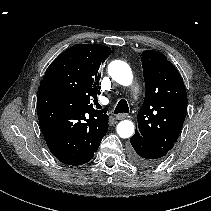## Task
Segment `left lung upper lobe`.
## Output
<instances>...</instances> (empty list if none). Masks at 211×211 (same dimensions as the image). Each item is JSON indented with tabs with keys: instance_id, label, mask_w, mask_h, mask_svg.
<instances>
[{
	"instance_id": "left-lung-upper-lobe-1",
	"label": "left lung upper lobe",
	"mask_w": 211,
	"mask_h": 211,
	"mask_svg": "<svg viewBox=\"0 0 211 211\" xmlns=\"http://www.w3.org/2000/svg\"><path fill=\"white\" fill-rule=\"evenodd\" d=\"M142 66L146 91L135 133L169 151L187 113L185 85L174 65L157 51H144Z\"/></svg>"
}]
</instances>
